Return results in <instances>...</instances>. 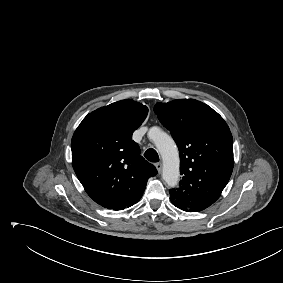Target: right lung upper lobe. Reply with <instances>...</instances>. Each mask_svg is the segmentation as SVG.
I'll list each match as a JSON object with an SVG mask.
<instances>
[{
	"instance_id": "obj_1",
	"label": "right lung upper lobe",
	"mask_w": 283,
	"mask_h": 283,
	"mask_svg": "<svg viewBox=\"0 0 283 283\" xmlns=\"http://www.w3.org/2000/svg\"><path fill=\"white\" fill-rule=\"evenodd\" d=\"M147 114L141 103L121 100L88 114L72 137L74 171L87 194L104 208L132 206L157 174L132 140Z\"/></svg>"
}]
</instances>
